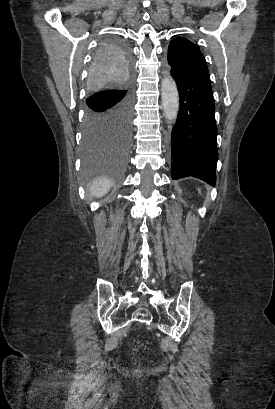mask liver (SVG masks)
Listing matches in <instances>:
<instances>
[{"label": "liver", "instance_id": "obj_1", "mask_svg": "<svg viewBox=\"0 0 275 409\" xmlns=\"http://www.w3.org/2000/svg\"><path fill=\"white\" fill-rule=\"evenodd\" d=\"M110 186H112V180H110V178L99 176V178L93 180L90 186V192L93 196H103V194H106L107 190H109Z\"/></svg>", "mask_w": 275, "mask_h": 409}]
</instances>
